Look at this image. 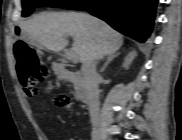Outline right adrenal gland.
I'll return each instance as SVG.
<instances>
[{"instance_id":"2a0ac1e0","label":"right adrenal gland","mask_w":182,"mask_h":140,"mask_svg":"<svg viewBox=\"0 0 182 140\" xmlns=\"http://www.w3.org/2000/svg\"><path fill=\"white\" fill-rule=\"evenodd\" d=\"M118 56V53H112V54H108L106 57V62L104 63L103 67L101 68L100 72H103L106 67L109 65V63Z\"/></svg>"}]
</instances>
